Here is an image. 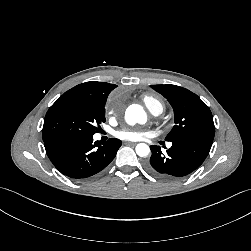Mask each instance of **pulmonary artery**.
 <instances>
[{"label":"pulmonary artery","instance_id":"pulmonary-artery-1","mask_svg":"<svg viewBox=\"0 0 251 251\" xmlns=\"http://www.w3.org/2000/svg\"><path fill=\"white\" fill-rule=\"evenodd\" d=\"M154 115H158L159 114V112H157V111H155V112H152Z\"/></svg>","mask_w":251,"mask_h":251}]
</instances>
